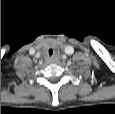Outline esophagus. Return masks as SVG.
Wrapping results in <instances>:
<instances>
[{
    "mask_svg": "<svg viewBox=\"0 0 115 114\" xmlns=\"http://www.w3.org/2000/svg\"><path fill=\"white\" fill-rule=\"evenodd\" d=\"M55 59L54 58H49V62H54Z\"/></svg>",
    "mask_w": 115,
    "mask_h": 114,
    "instance_id": "34e87169",
    "label": "esophagus"
}]
</instances>
